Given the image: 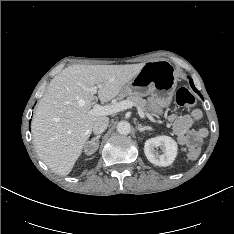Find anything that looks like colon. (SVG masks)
Listing matches in <instances>:
<instances>
[{
    "label": "colon",
    "mask_w": 234,
    "mask_h": 234,
    "mask_svg": "<svg viewBox=\"0 0 234 234\" xmlns=\"http://www.w3.org/2000/svg\"><path fill=\"white\" fill-rule=\"evenodd\" d=\"M175 101L180 107L189 108L194 105L195 97L190 90L185 87H181L176 91ZM200 152L201 149L199 146L191 145L188 149V157L191 160H195L199 157Z\"/></svg>",
    "instance_id": "obj_1"
}]
</instances>
